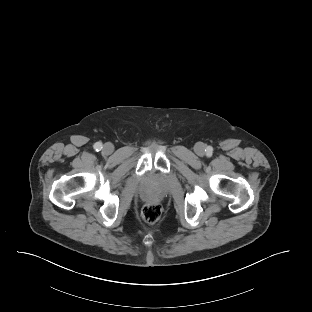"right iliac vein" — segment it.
<instances>
[{
    "instance_id": "63e3f726",
    "label": "right iliac vein",
    "mask_w": 312,
    "mask_h": 312,
    "mask_svg": "<svg viewBox=\"0 0 312 312\" xmlns=\"http://www.w3.org/2000/svg\"><path fill=\"white\" fill-rule=\"evenodd\" d=\"M114 151V147L111 143H106L103 146V152L105 154H111Z\"/></svg>"
}]
</instances>
